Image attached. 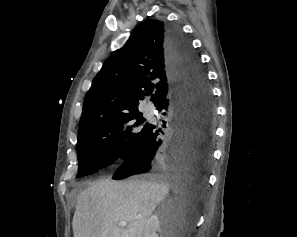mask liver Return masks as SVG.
I'll list each match as a JSON object with an SVG mask.
<instances>
[{
	"label": "liver",
	"mask_w": 297,
	"mask_h": 237,
	"mask_svg": "<svg viewBox=\"0 0 297 237\" xmlns=\"http://www.w3.org/2000/svg\"><path fill=\"white\" fill-rule=\"evenodd\" d=\"M168 193L160 178L94 182L78 196L74 237H143L147 220ZM122 221L126 228L118 225Z\"/></svg>",
	"instance_id": "obj_1"
}]
</instances>
